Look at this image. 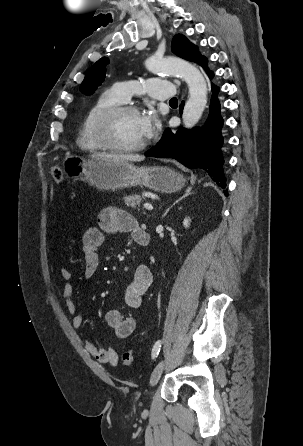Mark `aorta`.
Returning <instances> with one entry per match:
<instances>
[{
	"label": "aorta",
	"instance_id": "1",
	"mask_svg": "<svg viewBox=\"0 0 303 446\" xmlns=\"http://www.w3.org/2000/svg\"><path fill=\"white\" fill-rule=\"evenodd\" d=\"M146 68L154 73H165L182 78L188 85L189 98L184 106L182 119L185 128L194 127L207 104V84L199 69L180 59L150 58Z\"/></svg>",
	"mask_w": 303,
	"mask_h": 446
}]
</instances>
